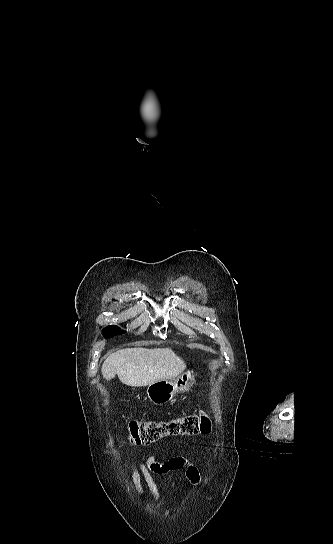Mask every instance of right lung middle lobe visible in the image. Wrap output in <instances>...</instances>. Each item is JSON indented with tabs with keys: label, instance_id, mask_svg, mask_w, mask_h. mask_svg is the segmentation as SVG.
Here are the masks:
<instances>
[{
	"label": "right lung middle lobe",
	"instance_id": "dd1d6c3e",
	"mask_svg": "<svg viewBox=\"0 0 333 544\" xmlns=\"http://www.w3.org/2000/svg\"><path fill=\"white\" fill-rule=\"evenodd\" d=\"M125 331L120 330L117 326H109L103 330V334L106 338L113 337L115 335L123 334Z\"/></svg>",
	"mask_w": 333,
	"mask_h": 544
}]
</instances>
